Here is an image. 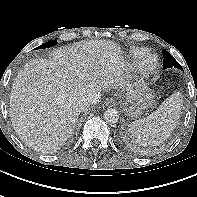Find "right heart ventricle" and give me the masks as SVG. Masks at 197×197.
Masks as SVG:
<instances>
[{
	"label": "right heart ventricle",
	"instance_id": "right-heart-ventricle-1",
	"mask_svg": "<svg viewBox=\"0 0 197 197\" xmlns=\"http://www.w3.org/2000/svg\"><path fill=\"white\" fill-rule=\"evenodd\" d=\"M148 54V49L143 47H135L131 49L128 53V57L132 62H139Z\"/></svg>",
	"mask_w": 197,
	"mask_h": 197
}]
</instances>
